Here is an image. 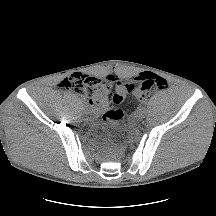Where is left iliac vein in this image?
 <instances>
[{
	"instance_id": "1",
	"label": "left iliac vein",
	"mask_w": 216,
	"mask_h": 216,
	"mask_svg": "<svg viewBox=\"0 0 216 216\" xmlns=\"http://www.w3.org/2000/svg\"><path fill=\"white\" fill-rule=\"evenodd\" d=\"M146 114H147V109L145 107H141L137 112V117L139 119H144L146 117Z\"/></svg>"
}]
</instances>
